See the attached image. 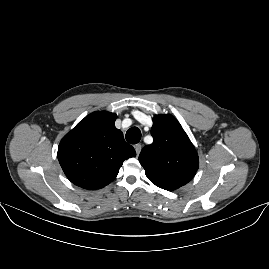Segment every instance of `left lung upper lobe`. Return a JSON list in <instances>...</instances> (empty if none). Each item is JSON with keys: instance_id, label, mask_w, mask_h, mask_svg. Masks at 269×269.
I'll use <instances>...</instances> for the list:
<instances>
[{"instance_id": "1", "label": "left lung upper lobe", "mask_w": 269, "mask_h": 269, "mask_svg": "<svg viewBox=\"0 0 269 269\" xmlns=\"http://www.w3.org/2000/svg\"><path fill=\"white\" fill-rule=\"evenodd\" d=\"M151 135L153 143L139 155L148 179L166 190L187 184L195 175L199 160L179 122L171 115H156Z\"/></svg>"}]
</instances>
